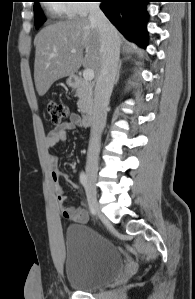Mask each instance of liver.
<instances>
[{
    "mask_svg": "<svg viewBox=\"0 0 195 299\" xmlns=\"http://www.w3.org/2000/svg\"><path fill=\"white\" fill-rule=\"evenodd\" d=\"M117 34L121 44L122 37L118 31ZM34 45V80L39 96L45 95L58 79L73 75L82 65L99 76L100 34L88 18L77 17L49 25L36 35ZM72 49L76 53H71Z\"/></svg>",
    "mask_w": 195,
    "mask_h": 299,
    "instance_id": "liver-1",
    "label": "liver"
}]
</instances>
